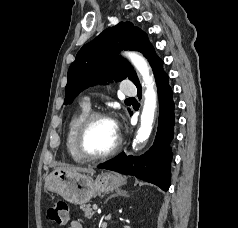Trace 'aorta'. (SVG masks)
Here are the masks:
<instances>
[{"mask_svg": "<svg viewBox=\"0 0 238 228\" xmlns=\"http://www.w3.org/2000/svg\"><path fill=\"white\" fill-rule=\"evenodd\" d=\"M125 55L141 75L142 85L145 88L141 125L132 145L135 148L138 144L145 142L151 134L157 104V93L147 60L136 52H126Z\"/></svg>", "mask_w": 238, "mask_h": 228, "instance_id": "aorta-1", "label": "aorta"}]
</instances>
